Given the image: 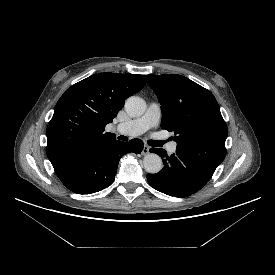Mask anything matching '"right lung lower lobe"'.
Wrapping results in <instances>:
<instances>
[{"label": "right lung lower lobe", "mask_w": 275, "mask_h": 275, "mask_svg": "<svg viewBox=\"0 0 275 275\" xmlns=\"http://www.w3.org/2000/svg\"><path fill=\"white\" fill-rule=\"evenodd\" d=\"M143 146V141L139 139H132L128 143L116 140L52 165L69 190L91 194L110 186L115 179L120 158L128 152L141 153Z\"/></svg>", "instance_id": "right-lung-lower-lobe-1"}]
</instances>
